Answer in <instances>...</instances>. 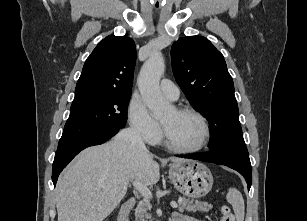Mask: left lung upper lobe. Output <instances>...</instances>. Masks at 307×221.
Masks as SVG:
<instances>
[{
    "label": "left lung upper lobe",
    "mask_w": 307,
    "mask_h": 221,
    "mask_svg": "<svg viewBox=\"0 0 307 221\" xmlns=\"http://www.w3.org/2000/svg\"><path fill=\"white\" fill-rule=\"evenodd\" d=\"M175 79L191 106L209 121L210 150H229L249 157L234 84L223 55L202 36L179 38L171 48Z\"/></svg>",
    "instance_id": "5c2ea615"
}]
</instances>
